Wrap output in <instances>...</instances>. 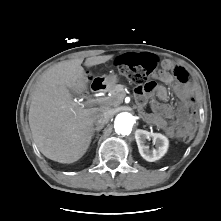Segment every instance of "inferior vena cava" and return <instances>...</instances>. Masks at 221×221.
Wrapping results in <instances>:
<instances>
[{"label":"inferior vena cava","instance_id":"inferior-vena-cava-1","mask_svg":"<svg viewBox=\"0 0 221 221\" xmlns=\"http://www.w3.org/2000/svg\"><path fill=\"white\" fill-rule=\"evenodd\" d=\"M111 118V115L108 111L102 110L94 115V124L97 127H103Z\"/></svg>","mask_w":221,"mask_h":221}]
</instances>
